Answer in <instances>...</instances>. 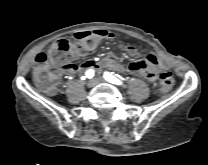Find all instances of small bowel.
Listing matches in <instances>:
<instances>
[{
  "label": "small bowel",
  "instance_id": "obj_1",
  "mask_svg": "<svg viewBox=\"0 0 208 165\" xmlns=\"http://www.w3.org/2000/svg\"><path fill=\"white\" fill-rule=\"evenodd\" d=\"M94 33L97 34L100 39H113L115 37L113 32L106 29L95 30ZM121 48L131 56H135L137 54V50L133 46L121 45ZM101 66L118 71H122L124 69L123 66L117 62L112 55H107L104 57L101 61ZM169 66L170 62L168 59L159 56L156 51H151L148 53L145 59L130 63L128 66V71L133 75L141 76L152 82L156 79V74L158 71ZM98 67V64L94 60H88L82 65L80 63L64 62L61 65L60 70L64 74L77 75L80 74L82 70H91Z\"/></svg>",
  "mask_w": 208,
  "mask_h": 165
}]
</instances>
